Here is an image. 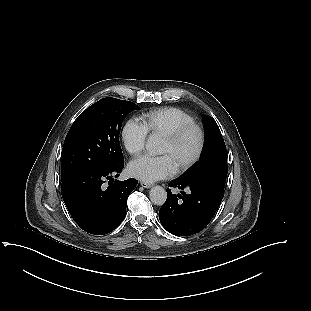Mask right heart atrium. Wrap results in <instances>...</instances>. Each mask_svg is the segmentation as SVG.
Returning a JSON list of instances; mask_svg holds the SVG:
<instances>
[{
  "instance_id": "d8ad5b80",
  "label": "right heart atrium",
  "mask_w": 311,
  "mask_h": 311,
  "mask_svg": "<svg viewBox=\"0 0 311 311\" xmlns=\"http://www.w3.org/2000/svg\"><path fill=\"white\" fill-rule=\"evenodd\" d=\"M147 131L142 123L130 118L122 129V138L127 151L133 155H139L145 147Z\"/></svg>"
}]
</instances>
